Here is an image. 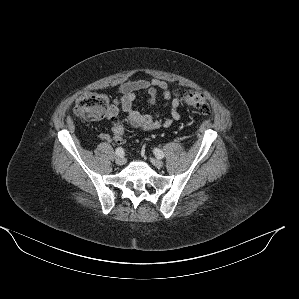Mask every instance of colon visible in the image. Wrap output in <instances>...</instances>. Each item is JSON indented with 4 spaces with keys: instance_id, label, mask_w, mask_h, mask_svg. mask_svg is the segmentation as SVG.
I'll return each instance as SVG.
<instances>
[{
    "instance_id": "5ec220e1",
    "label": "colon",
    "mask_w": 299,
    "mask_h": 299,
    "mask_svg": "<svg viewBox=\"0 0 299 299\" xmlns=\"http://www.w3.org/2000/svg\"><path fill=\"white\" fill-rule=\"evenodd\" d=\"M181 100L203 114L210 112V104L207 97L196 91H187L181 95ZM109 107V99L106 95L87 92L81 94L75 103L74 113L80 119L86 121H97L106 116ZM114 133L120 140L123 139V127L115 123Z\"/></svg>"
}]
</instances>
